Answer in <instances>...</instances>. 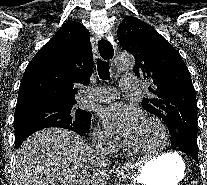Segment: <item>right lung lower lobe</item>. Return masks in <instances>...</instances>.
<instances>
[{"instance_id":"98d812e1","label":"right lung lower lobe","mask_w":207,"mask_h":185,"mask_svg":"<svg viewBox=\"0 0 207 185\" xmlns=\"http://www.w3.org/2000/svg\"><path fill=\"white\" fill-rule=\"evenodd\" d=\"M87 131H88V130H87ZM87 131H86V132H87ZM74 132L78 133V134L81 135V136H83V135L86 133V132H83V131H74ZM26 138H27V137L22 138V139L16 141V147L19 148V146L21 145V143H22Z\"/></svg>"}]
</instances>
